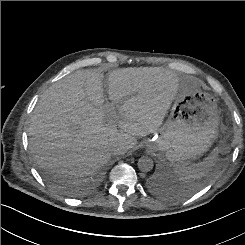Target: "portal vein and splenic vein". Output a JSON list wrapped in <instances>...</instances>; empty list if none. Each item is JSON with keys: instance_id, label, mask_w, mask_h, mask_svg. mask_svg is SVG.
<instances>
[{"instance_id": "obj_1", "label": "portal vein and splenic vein", "mask_w": 245, "mask_h": 245, "mask_svg": "<svg viewBox=\"0 0 245 245\" xmlns=\"http://www.w3.org/2000/svg\"><path fill=\"white\" fill-rule=\"evenodd\" d=\"M108 107L110 109V112H109V116L107 119V123L113 124V123H115V121L117 119V115H116L115 111L113 110V108L110 104L108 105Z\"/></svg>"}]
</instances>
